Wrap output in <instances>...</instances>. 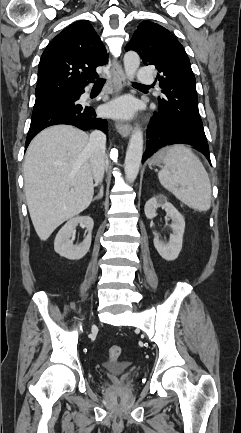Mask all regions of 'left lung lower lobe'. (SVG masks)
Returning <instances> with one entry per match:
<instances>
[{
  "mask_svg": "<svg viewBox=\"0 0 241 433\" xmlns=\"http://www.w3.org/2000/svg\"><path fill=\"white\" fill-rule=\"evenodd\" d=\"M171 144L191 145L203 153L211 164L207 139L194 134L158 111L154 114L152 124L147 129L146 150L142 162L159 148Z\"/></svg>",
  "mask_w": 241,
  "mask_h": 433,
  "instance_id": "obj_1",
  "label": "left lung lower lobe"
}]
</instances>
